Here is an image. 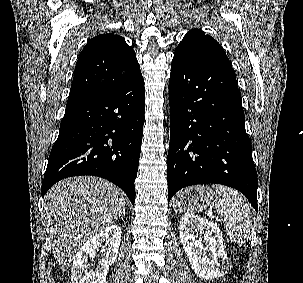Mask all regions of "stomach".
<instances>
[{
	"label": "stomach",
	"mask_w": 303,
	"mask_h": 283,
	"mask_svg": "<svg viewBox=\"0 0 303 283\" xmlns=\"http://www.w3.org/2000/svg\"><path fill=\"white\" fill-rule=\"evenodd\" d=\"M216 194L206 186H194L180 191L174 200L176 212H199L214 204Z\"/></svg>",
	"instance_id": "stomach-1"
}]
</instances>
